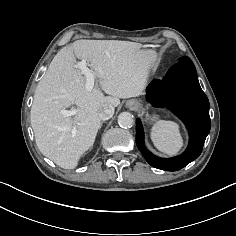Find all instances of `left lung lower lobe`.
Returning <instances> with one entry per match:
<instances>
[{"label": "left lung lower lobe", "mask_w": 236, "mask_h": 236, "mask_svg": "<svg viewBox=\"0 0 236 236\" xmlns=\"http://www.w3.org/2000/svg\"><path fill=\"white\" fill-rule=\"evenodd\" d=\"M147 100L155 107H168L184 122L189 132V145L177 157L159 158L146 149L142 124L137 119V147L151 166L166 171L180 170L201 154L211 127L209 101L200 87L191 59L183 56L162 80L152 81L147 87Z\"/></svg>", "instance_id": "obj_1"}]
</instances>
